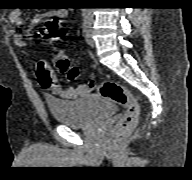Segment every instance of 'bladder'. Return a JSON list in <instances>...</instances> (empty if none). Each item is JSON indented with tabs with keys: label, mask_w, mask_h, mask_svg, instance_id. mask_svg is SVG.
<instances>
[{
	"label": "bladder",
	"mask_w": 192,
	"mask_h": 180,
	"mask_svg": "<svg viewBox=\"0 0 192 180\" xmlns=\"http://www.w3.org/2000/svg\"><path fill=\"white\" fill-rule=\"evenodd\" d=\"M47 106L56 123L70 128L88 127L117 111L114 103L99 96H86L75 100L49 98Z\"/></svg>",
	"instance_id": "1"
}]
</instances>
